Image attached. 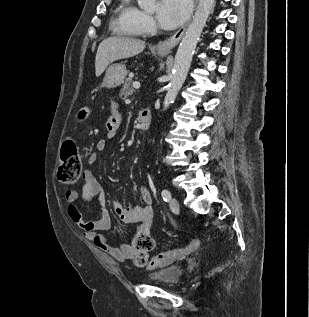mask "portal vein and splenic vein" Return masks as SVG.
<instances>
[{"label": "portal vein and splenic vein", "instance_id": "obj_1", "mask_svg": "<svg viewBox=\"0 0 309 317\" xmlns=\"http://www.w3.org/2000/svg\"><path fill=\"white\" fill-rule=\"evenodd\" d=\"M133 87H134L135 89H139V88H140V83H139V82H134V83H133Z\"/></svg>", "mask_w": 309, "mask_h": 317}]
</instances>
